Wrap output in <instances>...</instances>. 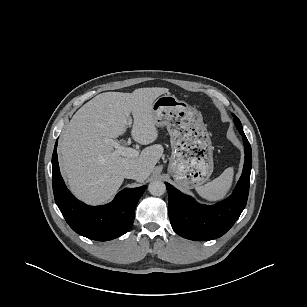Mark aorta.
I'll return each instance as SVG.
<instances>
[{
  "label": "aorta",
  "mask_w": 307,
  "mask_h": 307,
  "mask_svg": "<svg viewBox=\"0 0 307 307\" xmlns=\"http://www.w3.org/2000/svg\"><path fill=\"white\" fill-rule=\"evenodd\" d=\"M148 190H149L150 194H152L154 196H161L166 191V185L162 181L155 180V181H152L149 184Z\"/></svg>",
  "instance_id": "1"
}]
</instances>
